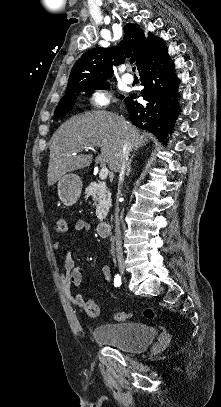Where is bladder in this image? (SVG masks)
<instances>
[{"label":"bladder","instance_id":"bladder-1","mask_svg":"<svg viewBox=\"0 0 221 407\" xmlns=\"http://www.w3.org/2000/svg\"><path fill=\"white\" fill-rule=\"evenodd\" d=\"M157 333L155 327L143 323H111L95 327L93 337L100 344L134 353L144 351Z\"/></svg>","mask_w":221,"mask_h":407}]
</instances>
